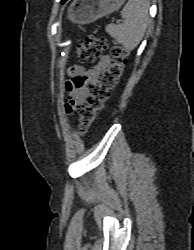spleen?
Segmentation results:
<instances>
[{
  "instance_id": "3e777b00",
  "label": "spleen",
  "mask_w": 194,
  "mask_h": 250,
  "mask_svg": "<svg viewBox=\"0 0 194 250\" xmlns=\"http://www.w3.org/2000/svg\"><path fill=\"white\" fill-rule=\"evenodd\" d=\"M148 9L149 0H128L121 11L124 23L109 24L105 28L106 32L126 49H135L147 29Z\"/></svg>"
}]
</instances>
